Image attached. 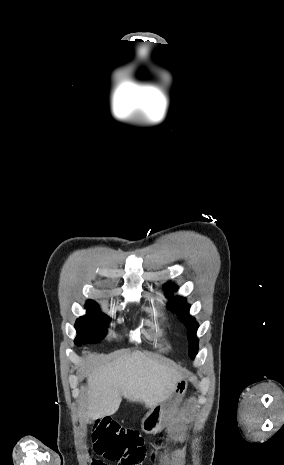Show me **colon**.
Here are the masks:
<instances>
[{
    "instance_id": "colon-1",
    "label": "colon",
    "mask_w": 284,
    "mask_h": 465,
    "mask_svg": "<svg viewBox=\"0 0 284 465\" xmlns=\"http://www.w3.org/2000/svg\"><path fill=\"white\" fill-rule=\"evenodd\" d=\"M89 452L96 453L106 460H121V465H139L147 455L145 440L136 430L121 427L117 422L110 421L96 430L85 443ZM163 449L152 448L154 455H159ZM91 465H103L98 459H92Z\"/></svg>"
}]
</instances>
